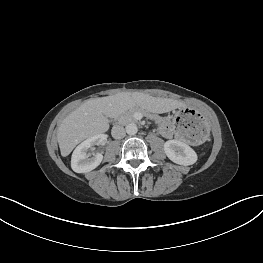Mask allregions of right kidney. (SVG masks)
<instances>
[{
	"label": "right kidney",
	"mask_w": 263,
	"mask_h": 263,
	"mask_svg": "<svg viewBox=\"0 0 263 263\" xmlns=\"http://www.w3.org/2000/svg\"><path fill=\"white\" fill-rule=\"evenodd\" d=\"M107 140L105 134L94 135L76 147L71 158V167L74 172L87 173L95 169L103 160L101 153H94L93 156L88 152L95 145H101Z\"/></svg>",
	"instance_id": "1"
}]
</instances>
